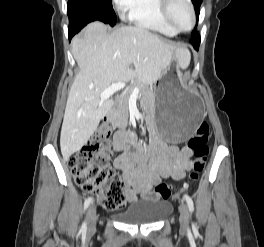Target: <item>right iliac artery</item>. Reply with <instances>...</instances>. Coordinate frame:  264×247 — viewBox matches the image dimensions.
<instances>
[{"label":"right iliac artery","instance_id":"right-iliac-artery-1","mask_svg":"<svg viewBox=\"0 0 264 247\" xmlns=\"http://www.w3.org/2000/svg\"><path fill=\"white\" fill-rule=\"evenodd\" d=\"M92 201H93V198H92V197H88V198L85 200V202H84V209H85V210L88 208V206L90 205V203H91ZM86 230H87V223H86V221H84V222L82 223V226H81V231H82L83 233H85Z\"/></svg>","mask_w":264,"mask_h":247}]
</instances>
